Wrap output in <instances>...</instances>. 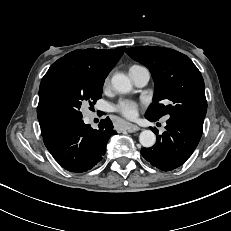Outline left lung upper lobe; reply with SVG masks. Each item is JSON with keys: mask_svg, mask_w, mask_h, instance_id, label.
<instances>
[{"mask_svg": "<svg viewBox=\"0 0 231 231\" xmlns=\"http://www.w3.org/2000/svg\"><path fill=\"white\" fill-rule=\"evenodd\" d=\"M126 53L145 65L155 82L153 103L145 116L158 120L169 114L171 119L203 127L207 112L205 85L198 68L186 55L153 46L127 48Z\"/></svg>", "mask_w": 231, "mask_h": 231, "instance_id": "1", "label": "left lung upper lobe"}]
</instances>
